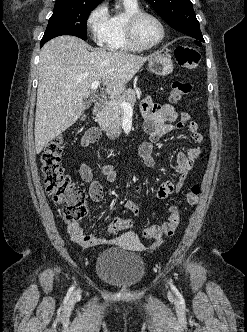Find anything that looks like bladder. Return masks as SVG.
<instances>
[{
	"label": "bladder",
	"mask_w": 247,
	"mask_h": 332,
	"mask_svg": "<svg viewBox=\"0 0 247 332\" xmlns=\"http://www.w3.org/2000/svg\"><path fill=\"white\" fill-rule=\"evenodd\" d=\"M100 280L116 288L136 287L145 274L143 258L132 251L112 247L102 251L96 260Z\"/></svg>",
	"instance_id": "31cf9c89"
}]
</instances>
